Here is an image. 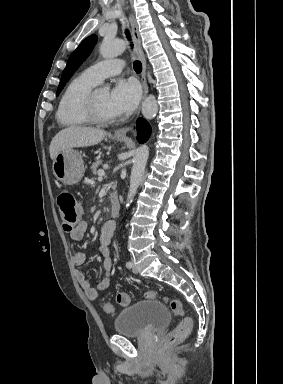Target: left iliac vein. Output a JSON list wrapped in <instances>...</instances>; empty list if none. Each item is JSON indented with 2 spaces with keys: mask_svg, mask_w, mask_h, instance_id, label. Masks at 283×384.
<instances>
[{
  "mask_svg": "<svg viewBox=\"0 0 283 384\" xmlns=\"http://www.w3.org/2000/svg\"><path fill=\"white\" fill-rule=\"evenodd\" d=\"M131 263H132V271H133L134 273H138V269H137V267L135 266L133 259H131Z\"/></svg>",
  "mask_w": 283,
  "mask_h": 384,
  "instance_id": "1",
  "label": "left iliac vein"
}]
</instances>
